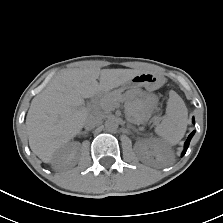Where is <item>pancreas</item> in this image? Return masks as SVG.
Returning a JSON list of instances; mask_svg holds the SVG:
<instances>
[{"instance_id":"pancreas-1","label":"pancreas","mask_w":223,"mask_h":223,"mask_svg":"<svg viewBox=\"0 0 223 223\" xmlns=\"http://www.w3.org/2000/svg\"><path fill=\"white\" fill-rule=\"evenodd\" d=\"M122 99V95L119 90H115L109 93H105L96 102L97 110H102L105 112H110L118 107V102Z\"/></svg>"}]
</instances>
